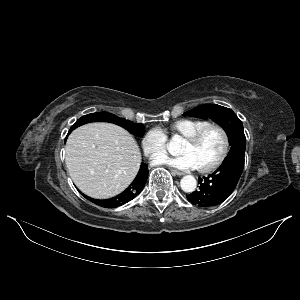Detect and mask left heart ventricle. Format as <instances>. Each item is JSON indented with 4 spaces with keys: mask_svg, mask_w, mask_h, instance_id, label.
<instances>
[{
    "mask_svg": "<svg viewBox=\"0 0 300 300\" xmlns=\"http://www.w3.org/2000/svg\"><path fill=\"white\" fill-rule=\"evenodd\" d=\"M223 149V136L219 129H209L199 142L190 144L183 141L179 153L189 154L197 164V167L209 165L215 161Z\"/></svg>",
    "mask_w": 300,
    "mask_h": 300,
    "instance_id": "obj_1",
    "label": "left heart ventricle"
}]
</instances>
